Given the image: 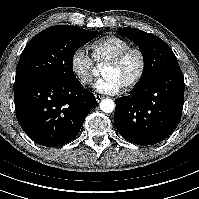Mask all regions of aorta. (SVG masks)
Wrapping results in <instances>:
<instances>
[{"instance_id": "aorta-1", "label": "aorta", "mask_w": 199, "mask_h": 199, "mask_svg": "<svg viewBox=\"0 0 199 199\" xmlns=\"http://www.w3.org/2000/svg\"><path fill=\"white\" fill-rule=\"evenodd\" d=\"M100 109L105 113H111L115 109V103L111 99H103L100 102Z\"/></svg>"}]
</instances>
